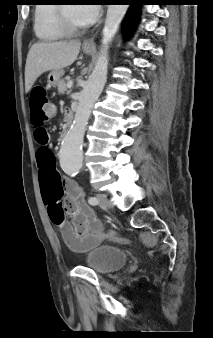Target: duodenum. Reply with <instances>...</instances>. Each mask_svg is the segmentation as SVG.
Wrapping results in <instances>:
<instances>
[{
  "label": "duodenum",
  "instance_id": "obj_1",
  "mask_svg": "<svg viewBox=\"0 0 213 338\" xmlns=\"http://www.w3.org/2000/svg\"><path fill=\"white\" fill-rule=\"evenodd\" d=\"M71 125H72V115L69 114V115L67 116L66 123H65L64 126H63V130H62V136H63V137H65V136L67 135V133H68V131H69Z\"/></svg>",
  "mask_w": 213,
  "mask_h": 338
}]
</instances>
